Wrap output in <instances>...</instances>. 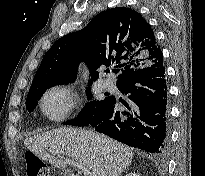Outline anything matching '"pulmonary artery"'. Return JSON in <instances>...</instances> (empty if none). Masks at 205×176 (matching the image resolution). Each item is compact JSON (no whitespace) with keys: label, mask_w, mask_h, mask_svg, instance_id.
Returning a JSON list of instances; mask_svg holds the SVG:
<instances>
[{"label":"pulmonary artery","mask_w":205,"mask_h":176,"mask_svg":"<svg viewBox=\"0 0 205 176\" xmlns=\"http://www.w3.org/2000/svg\"><path fill=\"white\" fill-rule=\"evenodd\" d=\"M103 85H104V88H106V89H114L115 88L114 82L111 79H106L103 82Z\"/></svg>","instance_id":"1"}]
</instances>
